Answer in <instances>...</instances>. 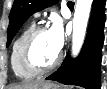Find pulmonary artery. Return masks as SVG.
<instances>
[{"instance_id":"1","label":"pulmonary artery","mask_w":107,"mask_h":89,"mask_svg":"<svg viewBox=\"0 0 107 89\" xmlns=\"http://www.w3.org/2000/svg\"><path fill=\"white\" fill-rule=\"evenodd\" d=\"M38 16H39V13H36V14H35V17H38Z\"/></svg>"}]
</instances>
